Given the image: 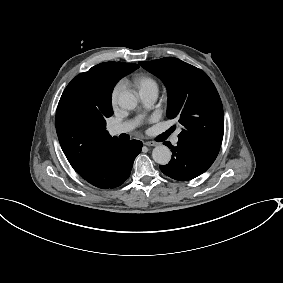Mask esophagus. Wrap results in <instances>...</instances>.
<instances>
[{
	"mask_svg": "<svg viewBox=\"0 0 283 283\" xmlns=\"http://www.w3.org/2000/svg\"><path fill=\"white\" fill-rule=\"evenodd\" d=\"M146 146H158L160 143L155 141H147L144 143Z\"/></svg>",
	"mask_w": 283,
	"mask_h": 283,
	"instance_id": "1",
	"label": "esophagus"
}]
</instances>
